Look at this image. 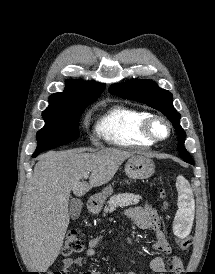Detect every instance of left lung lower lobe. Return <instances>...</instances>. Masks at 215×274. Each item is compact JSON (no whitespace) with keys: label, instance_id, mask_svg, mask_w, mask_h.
Masks as SVG:
<instances>
[{"label":"left lung lower lobe","instance_id":"1","mask_svg":"<svg viewBox=\"0 0 215 274\" xmlns=\"http://www.w3.org/2000/svg\"><path fill=\"white\" fill-rule=\"evenodd\" d=\"M190 164L194 165V162H192V163H190Z\"/></svg>","mask_w":215,"mask_h":274}]
</instances>
